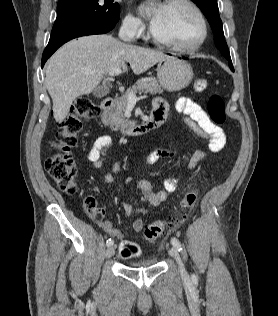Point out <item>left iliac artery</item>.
I'll list each match as a JSON object with an SVG mask.
<instances>
[{
    "instance_id": "obj_1",
    "label": "left iliac artery",
    "mask_w": 278,
    "mask_h": 316,
    "mask_svg": "<svg viewBox=\"0 0 278 316\" xmlns=\"http://www.w3.org/2000/svg\"><path fill=\"white\" fill-rule=\"evenodd\" d=\"M171 243L179 252L183 250L180 241L176 237L171 238Z\"/></svg>"
}]
</instances>
